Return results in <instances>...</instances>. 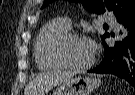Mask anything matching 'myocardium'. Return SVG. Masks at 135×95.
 Listing matches in <instances>:
<instances>
[{
	"instance_id": "obj_1",
	"label": "myocardium",
	"mask_w": 135,
	"mask_h": 95,
	"mask_svg": "<svg viewBox=\"0 0 135 95\" xmlns=\"http://www.w3.org/2000/svg\"><path fill=\"white\" fill-rule=\"evenodd\" d=\"M75 38H84V36L80 32H76V31H68L67 33L62 35L55 45V49H54L55 56L63 67L72 70L86 69L94 63L95 61L94 56H92L91 59L84 64H72L67 60L65 56V47L67 43Z\"/></svg>"
}]
</instances>
